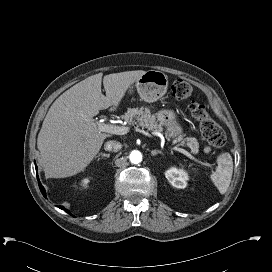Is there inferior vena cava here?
Masks as SVG:
<instances>
[{
    "instance_id": "inferior-vena-cava-1",
    "label": "inferior vena cava",
    "mask_w": 272,
    "mask_h": 272,
    "mask_svg": "<svg viewBox=\"0 0 272 272\" xmlns=\"http://www.w3.org/2000/svg\"><path fill=\"white\" fill-rule=\"evenodd\" d=\"M122 145L120 142L117 141H108L105 143L104 145V149L107 151H113V152H117L121 149Z\"/></svg>"
}]
</instances>
